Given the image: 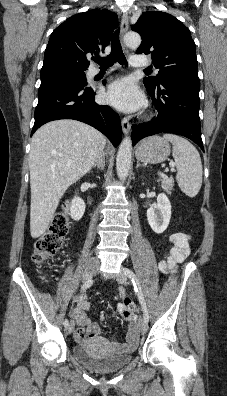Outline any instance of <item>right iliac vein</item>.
Listing matches in <instances>:
<instances>
[{"mask_svg":"<svg viewBox=\"0 0 227 396\" xmlns=\"http://www.w3.org/2000/svg\"><path fill=\"white\" fill-rule=\"evenodd\" d=\"M98 271V263L95 260H91L87 266V268L85 269L82 279L83 281H88L91 280L93 276L96 275ZM74 329V323L70 322L66 328H65V332L66 334H70Z\"/></svg>","mask_w":227,"mask_h":396,"instance_id":"right-iliac-vein-1","label":"right iliac vein"}]
</instances>
